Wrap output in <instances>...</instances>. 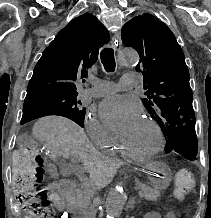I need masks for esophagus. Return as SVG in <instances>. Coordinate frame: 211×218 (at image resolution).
Segmentation results:
<instances>
[{
    "mask_svg": "<svg viewBox=\"0 0 211 218\" xmlns=\"http://www.w3.org/2000/svg\"><path fill=\"white\" fill-rule=\"evenodd\" d=\"M111 44H112V47L115 49V50H118L121 48V45H122V40H121V36H120V33L117 32L113 38H112V41H111ZM126 163H129V160H126ZM128 167H131V164H128ZM130 171H140V168H130Z\"/></svg>",
    "mask_w": 211,
    "mask_h": 218,
    "instance_id": "1",
    "label": "esophagus"
}]
</instances>
